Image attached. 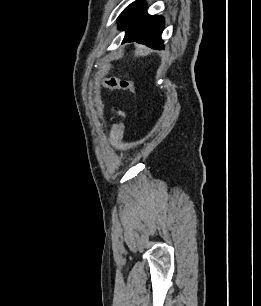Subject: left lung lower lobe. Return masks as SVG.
<instances>
[{"label":"left lung lower lobe","mask_w":261,"mask_h":306,"mask_svg":"<svg viewBox=\"0 0 261 306\" xmlns=\"http://www.w3.org/2000/svg\"><path fill=\"white\" fill-rule=\"evenodd\" d=\"M145 8V3L136 1L122 12L118 27L126 31L123 43L136 41L154 49H164L161 39L164 19L148 15Z\"/></svg>","instance_id":"left-lung-lower-lobe-1"}]
</instances>
